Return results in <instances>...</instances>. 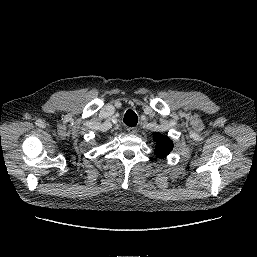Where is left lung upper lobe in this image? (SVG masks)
Listing matches in <instances>:
<instances>
[{"instance_id": "5c2ea615", "label": "left lung upper lobe", "mask_w": 257, "mask_h": 257, "mask_svg": "<svg viewBox=\"0 0 257 257\" xmlns=\"http://www.w3.org/2000/svg\"><path fill=\"white\" fill-rule=\"evenodd\" d=\"M153 140L156 142L155 154L160 157H166L173 149V142L166 136L160 133H154Z\"/></svg>"}]
</instances>
